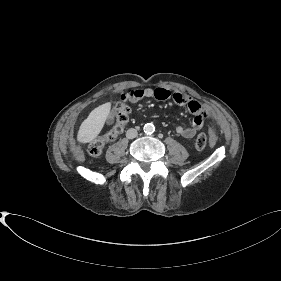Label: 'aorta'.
I'll use <instances>...</instances> for the list:
<instances>
[{"instance_id":"762f6f07","label":"aorta","mask_w":281,"mask_h":281,"mask_svg":"<svg viewBox=\"0 0 281 281\" xmlns=\"http://www.w3.org/2000/svg\"><path fill=\"white\" fill-rule=\"evenodd\" d=\"M143 130L146 134H152L155 131V126L152 123H147L144 125Z\"/></svg>"}]
</instances>
